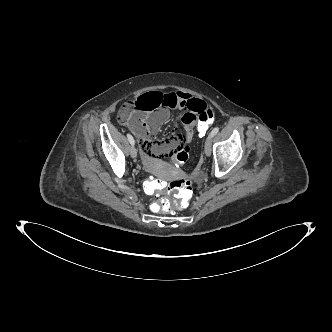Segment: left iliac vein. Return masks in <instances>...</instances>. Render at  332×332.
Listing matches in <instances>:
<instances>
[{"instance_id": "obj_1", "label": "left iliac vein", "mask_w": 332, "mask_h": 332, "mask_svg": "<svg viewBox=\"0 0 332 332\" xmlns=\"http://www.w3.org/2000/svg\"><path fill=\"white\" fill-rule=\"evenodd\" d=\"M211 145H212V137L209 135L205 141L204 145V153L206 156L211 155Z\"/></svg>"}]
</instances>
